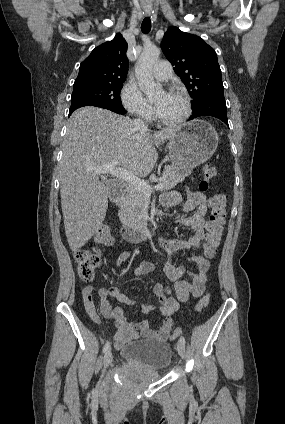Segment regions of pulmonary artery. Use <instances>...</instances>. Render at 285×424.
I'll return each mask as SVG.
<instances>
[{"label":"pulmonary artery","instance_id":"e3ab8cb5","mask_svg":"<svg viewBox=\"0 0 285 424\" xmlns=\"http://www.w3.org/2000/svg\"><path fill=\"white\" fill-rule=\"evenodd\" d=\"M153 75L156 79L166 81L172 76V68L168 61L160 60L153 67Z\"/></svg>","mask_w":285,"mask_h":424}]
</instances>
